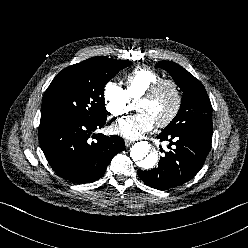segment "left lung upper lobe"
I'll return each mask as SVG.
<instances>
[{
    "label": "left lung upper lobe",
    "instance_id": "5c2ea615",
    "mask_svg": "<svg viewBox=\"0 0 248 248\" xmlns=\"http://www.w3.org/2000/svg\"><path fill=\"white\" fill-rule=\"evenodd\" d=\"M155 67L166 70L183 91L180 110L163 131L213 133L212 105L202 83L175 62L160 61Z\"/></svg>",
    "mask_w": 248,
    "mask_h": 248
}]
</instances>
